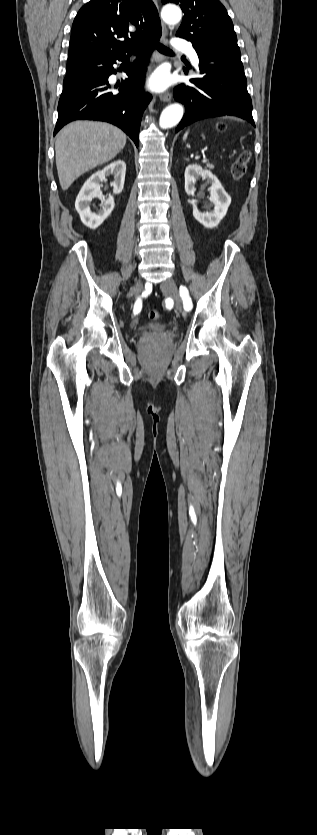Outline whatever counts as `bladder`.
<instances>
[{
    "instance_id": "obj_1",
    "label": "bladder",
    "mask_w": 317,
    "mask_h": 835,
    "mask_svg": "<svg viewBox=\"0 0 317 835\" xmlns=\"http://www.w3.org/2000/svg\"><path fill=\"white\" fill-rule=\"evenodd\" d=\"M168 331L169 327L162 323H150L142 330L143 334L147 337H159L166 334Z\"/></svg>"
}]
</instances>
